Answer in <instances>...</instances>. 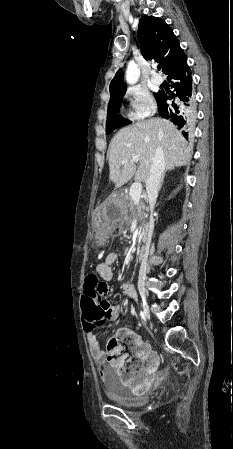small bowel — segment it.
<instances>
[{
    "mask_svg": "<svg viewBox=\"0 0 233 449\" xmlns=\"http://www.w3.org/2000/svg\"><path fill=\"white\" fill-rule=\"evenodd\" d=\"M118 258L119 253L112 251L107 254L104 262L98 264L96 267V272L101 280L97 283L98 285L95 287V290L100 292L97 300L105 314L103 323L116 320L120 313V306L116 305L111 299H106L111 295V288L108 282L114 277L113 265L117 262ZM120 291L127 298L138 293L136 286L130 284L122 285ZM84 329L87 333L89 347L101 377L105 378L108 371L112 369L122 384L130 386L135 390V399H148L149 392L147 389L149 384H151L159 362L158 355L151 346L144 342L140 336L133 334L131 347L134 349V357L137 363L129 367L130 359L128 355H121L120 362L111 361L108 358V353L99 344L95 328ZM124 347L125 345L119 347L121 352ZM129 369L131 370V376L128 378L125 376V373Z\"/></svg>",
    "mask_w": 233,
    "mask_h": 449,
    "instance_id": "1",
    "label": "small bowel"
}]
</instances>
